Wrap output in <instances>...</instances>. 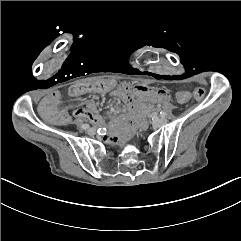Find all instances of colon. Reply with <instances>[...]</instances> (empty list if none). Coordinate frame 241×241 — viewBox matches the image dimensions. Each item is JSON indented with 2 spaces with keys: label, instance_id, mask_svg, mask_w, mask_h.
I'll list each match as a JSON object with an SVG mask.
<instances>
[{
  "label": "colon",
  "instance_id": "5ec220e1",
  "mask_svg": "<svg viewBox=\"0 0 241 241\" xmlns=\"http://www.w3.org/2000/svg\"><path fill=\"white\" fill-rule=\"evenodd\" d=\"M111 87L105 83L104 79H81L80 84H71L68 90L72 98L78 97L79 93H109ZM193 95L197 99H201L205 95V90L202 88H195ZM172 97L181 103H188L190 101V94L178 89L173 92Z\"/></svg>",
  "mask_w": 241,
  "mask_h": 241
}]
</instances>
